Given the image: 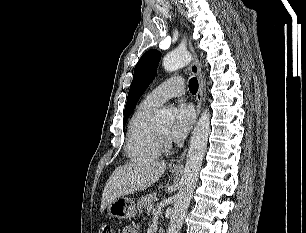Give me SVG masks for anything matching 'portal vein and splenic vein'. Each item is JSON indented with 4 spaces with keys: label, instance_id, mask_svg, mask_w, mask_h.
Returning a JSON list of instances; mask_svg holds the SVG:
<instances>
[{
    "label": "portal vein and splenic vein",
    "instance_id": "portal-vein-and-splenic-vein-1",
    "mask_svg": "<svg viewBox=\"0 0 306 233\" xmlns=\"http://www.w3.org/2000/svg\"><path fill=\"white\" fill-rule=\"evenodd\" d=\"M148 211H152L154 210V206L152 204H150L148 207H147Z\"/></svg>",
    "mask_w": 306,
    "mask_h": 233
}]
</instances>
